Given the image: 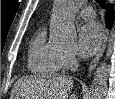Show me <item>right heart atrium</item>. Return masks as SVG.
<instances>
[{"instance_id": "1", "label": "right heart atrium", "mask_w": 115, "mask_h": 99, "mask_svg": "<svg viewBox=\"0 0 115 99\" xmlns=\"http://www.w3.org/2000/svg\"><path fill=\"white\" fill-rule=\"evenodd\" d=\"M76 56L73 52H64L62 55V65L65 69H71L76 65Z\"/></svg>"}]
</instances>
